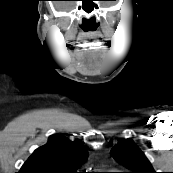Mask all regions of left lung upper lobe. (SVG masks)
Returning a JSON list of instances; mask_svg holds the SVG:
<instances>
[{"label":"left lung upper lobe","mask_w":173,"mask_h":173,"mask_svg":"<svg viewBox=\"0 0 173 173\" xmlns=\"http://www.w3.org/2000/svg\"><path fill=\"white\" fill-rule=\"evenodd\" d=\"M111 155L130 169V173H156L144 153L131 139L119 142L111 150Z\"/></svg>","instance_id":"5c2ea615"}]
</instances>
